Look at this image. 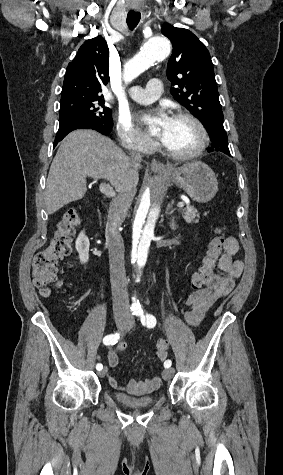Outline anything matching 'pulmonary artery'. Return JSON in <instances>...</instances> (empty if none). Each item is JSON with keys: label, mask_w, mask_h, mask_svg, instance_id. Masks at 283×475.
Masks as SVG:
<instances>
[{"label": "pulmonary artery", "mask_w": 283, "mask_h": 475, "mask_svg": "<svg viewBox=\"0 0 283 475\" xmlns=\"http://www.w3.org/2000/svg\"><path fill=\"white\" fill-rule=\"evenodd\" d=\"M162 88V80H148L147 87H136L132 89V99L138 103L152 102L163 94Z\"/></svg>", "instance_id": "obj_1"}]
</instances>
